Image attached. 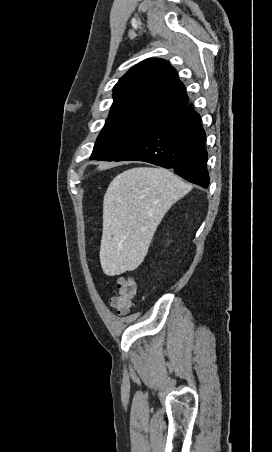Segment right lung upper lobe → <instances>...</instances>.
<instances>
[{"label":"right lung upper lobe","instance_id":"cb5924a9","mask_svg":"<svg viewBox=\"0 0 272 452\" xmlns=\"http://www.w3.org/2000/svg\"><path fill=\"white\" fill-rule=\"evenodd\" d=\"M109 116L128 112L157 114L179 111L188 104L183 83L165 60L150 58L132 67L114 86Z\"/></svg>","mask_w":272,"mask_h":452}]
</instances>
